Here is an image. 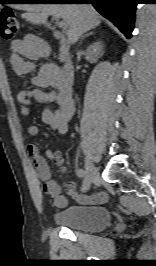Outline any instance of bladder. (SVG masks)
<instances>
[{"mask_svg": "<svg viewBox=\"0 0 156 266\" xmlns=\"http://www.w3.org/2000/svg\"><path fill=\"white\" fill-rule=\"evenodd\" d=\"M54 221L73 230L95 232L108 227L112 215L105 207L72 205L56 212Z\"/></svg>", "mask_w": 156, "mask_h": 266, "instance_id": "bladder-1", "label": "bladder"}]
</instances>
